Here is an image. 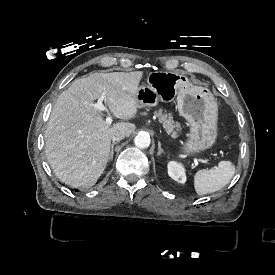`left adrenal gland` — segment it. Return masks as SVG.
<instances>
[{
    "mask_svg": "<svg viewBox=\"0 0 275 275\" xmlns=\"http://www.w3.org/2000/svg\"><path fill=\"white\" fill-rule=\"evenodd\" d=\"M161 153H164V150L161 148V142L158 141V152H157V155H161Z\"/></svg>",
    "mask_w": 275,
    "mask_h": 275,
    "instance_id": "a2214340",
    "label": "left adrenal gland"
}]
</instances>
